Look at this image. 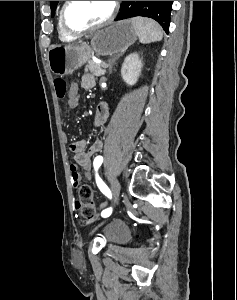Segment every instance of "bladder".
<instances>
[{"label":"bladder","mask_w":237,"mask_h":300,"mask_svg":"<svg viewBox=\"0 0 237 300\" xmlns=\"http://www.w3.org/2000/svg\"><path fill=\"white\" fill-rule=\"evenodd\" d=\"M102 235L107 242L121 243L128 238L129 232L122 222L113 221L102 227Z\"/></svg>","instance_id":"obj_1"}]
</instances>
